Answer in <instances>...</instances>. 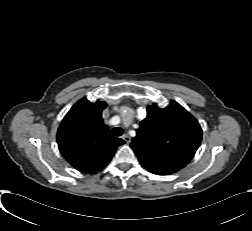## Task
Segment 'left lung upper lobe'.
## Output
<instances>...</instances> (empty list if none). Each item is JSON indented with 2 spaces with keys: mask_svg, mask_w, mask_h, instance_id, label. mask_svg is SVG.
<instances>
[{
  "mask_svg": "<svg viewBox=\"0 0 252 231\" xmlns=\"http://www.w3.org/2000/svg\"><path fill=\"white\" fill-rule=\"evenodd\" d=\"M202 139L198 121L177 102L161 109L147 107V117L140 122L130 147L139 161L172 162L186 165Z\"/></svg>",
  "mask_w": 252,
  "mask_h": 231,
  "instance_id": "5c2ea615",
  "label": "left lung upper lobe"
}]
</instances>
